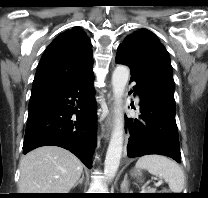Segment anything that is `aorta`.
Segmentation results:
<instances>
[{"label":"aorta","mask_w":208,"mask_h":198,"mask_svg":"<svg viewBox=\"0 0 208 198\" xmlns=\"http://www.w3.org/2000/svg\"><path fill=\"white\" fill-rule=\"evenodd\" d=\"M129 75L130 70L124 65H118L112 75V90L116 104V118L104 163V172L108 180L115 177L122 156L124 122L122 119L121 103Z\"/></svg>","instance_id":"aorta-1"}]
</instances>
